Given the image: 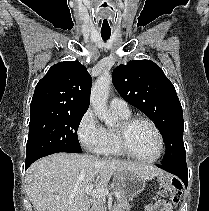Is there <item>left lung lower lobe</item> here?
<instances>
[{
    "instance_id": "0a47b994",
    "label": "left lung lower lobe",
    "mask_w": 209,
    "mask_h": 211,
    "mask_svg": "<svg viewBox=\"0 0 209 211\" xmlns=\"http://www.w3.org/2000/svg\"><path fill=\"white\" fill-rule=\"evenodd\" d=\"M157 166L159 168L179 177L182 180V182L185 184V186L187 187L188 174H187L186 160H182V161L168 164V165L161 164V165H157Z\"/></svg>"
}]
</instances>
